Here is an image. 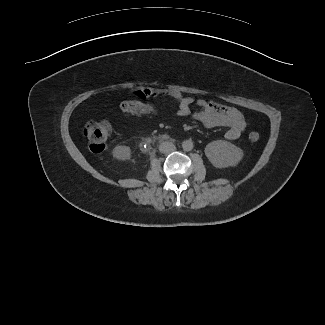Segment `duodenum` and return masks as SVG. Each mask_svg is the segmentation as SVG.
Here are the masks:
<instances>
[{"label": "duodenum", "mask_w": 325, "mask_h": 325, "mask_svg": "<svg viewBox=\"0 0 325 325\" xmlns=\"http://www.w3.org/2000/svg\"><path fill=\"white\" fill-rule=\"evenodd\" d=\"M159 140L162 141V142H167L170 140L169 136L168 135H161L159 137Z\"/></svg>", "instance_id": "1"}]
</instances>
